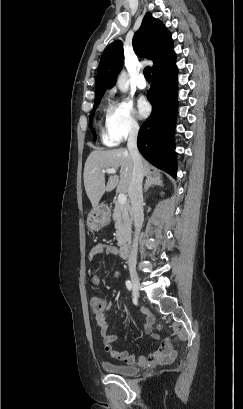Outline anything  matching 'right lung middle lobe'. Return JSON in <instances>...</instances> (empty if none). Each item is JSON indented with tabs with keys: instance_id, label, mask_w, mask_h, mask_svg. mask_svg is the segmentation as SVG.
<instances>
[{
	"instance_id": "dd1d6c3e",
	"label": "right lung middle lobe",
	"mask_w": 243,
	"mask_h": 409,
	"mask_svg": "<svg viewBox=\"0 0 243 409\" xmlns=\"http://www.w3.org/2000/svg\"><path fill=\"white\" fill-rule=\"evenodd\" d=\"M100 101H101V98L95 99L94 107H93V110H92V113H91V116H90V119H89V126H90V128H91V130H92V132H93V134H94V138H96V134H95L94 129L92 128V118H93V116H94V112H95V110L97 109V107H98Z\"/></svg>"
}]
</instances>
